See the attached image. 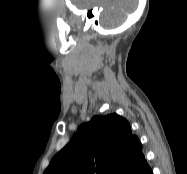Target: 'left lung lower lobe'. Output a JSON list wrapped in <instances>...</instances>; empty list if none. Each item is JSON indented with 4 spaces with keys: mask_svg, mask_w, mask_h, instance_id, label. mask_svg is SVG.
Masks as SVG:
<instances>
[{
    "mask_svg": "<svg viewBox=\"0 0 187 174\" xmlns=\"http://www.w3.org/2000/svg\"><path fill=\"white\" fill-rule=\"evenodd\" d=\"M131 174H153V172L148 164L144 166H140V164H138L131 172Z\"/></svg>",
    "mask_w": 187,
    "mask_h": 174,
    "instance_id": "0a47b994",
    "label": "left lung lower lobe"
}]
</instances>
